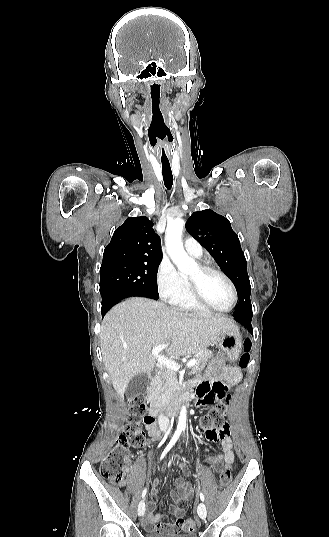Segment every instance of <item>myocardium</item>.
Listing matches in <instances>:
<instances>
[{
    "mask_svg": "<svg viewBox=\"0 0 329 537\" xmlns=\"http://www.w3.org/2000/svg\"><path fill=\"white\" fill-rule=\"evenodd\" d=\"M197 266L202 273H213V274L220 276L222 279L226 281V283L228 284L232 292V303L230 307L227 309H218L212 306L201 295V293L199 292L197 288L196 283L193 280L188 278V288H189L191 297L195 300L196 303H198L201 307L205 308L206 310L215 311L219 313L231 312L236 307L237 302H238V293L232 280L224 272H222L221 270L217 269L214 266H211L208 264H198Z\"/></svg>",
    "mask_w": 329,
    "mask_h": 537,
    "instance_id": "f54148a6",
    "label": "myocardium"
}]
</instances>
